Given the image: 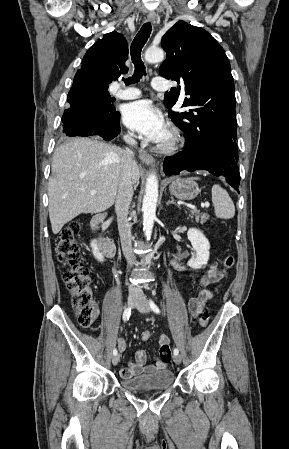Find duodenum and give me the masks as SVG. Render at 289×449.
Listing matches in <instances>:
<instances>
[{
	"label": "duodenum",
	"mask_w": 289,
	"mask_h": 449,
	"mask_svg": "<svg viewBox=\"0 0 289 449\" xmlns=\"http://www.w3.org/2000/svg\"><path fill=\"white\" fill-rule=\"evenodd\" d=\"M106 217L105 213H99L95 215L91 220L92 230L97 235V240L101 250L109 257L113 256L116 251V246L114 242L107 238L101 231V224Z\"/></svg>",
	"instance_id": "duodenum-1"
}]
</instances>
